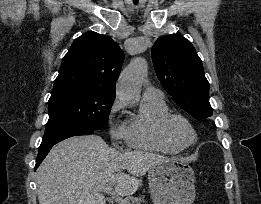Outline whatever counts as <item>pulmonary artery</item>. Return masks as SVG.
Instances as JSON below:
<instances>
[{"label":"pulmonary artery","mask_w":261,"mask_h":204,"mask_svg":"<svg viewBox=\"0 0 261 204\" xmlns=\"http://www.w3.org/2000/svg\"><path fill=\"white\" fill-rule=\"evenodd\" d=\"M163 92L155 87L148 86L145 88L143 92V97L144 98H149V99H161L163 98Z\"/></svg>","instance_id":"pulmonary-artery-1"}]
</instances>
